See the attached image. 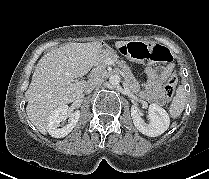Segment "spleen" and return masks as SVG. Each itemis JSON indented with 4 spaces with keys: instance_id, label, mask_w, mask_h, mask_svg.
Here are the masks:
<instances>
[{
    "instance_id": "3e777b00",
    "label": "spleen",
    "mask_w": 209,
    "mask_h": 179,
    "mask_svg": "<svg viewBox=\"0 0 209 179\" xmlns=\"http://www.w3.org/2000/svg\"><path fill=\"white\" fill-rule=\"evenodd\" d=\"M186 103V92L184 87L180 85L177 88L176 95L172 100L169 107V114L172 118H178L185 108Z\"/></svg>"
}]
</instances>
